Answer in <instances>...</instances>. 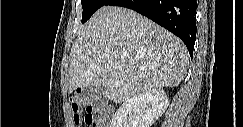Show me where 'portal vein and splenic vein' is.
<instances>
[{"label":"portal vein and splenic vein","instance_id":"obj_1","mask_svg":"<svg viewBox=\"0 0 243 127\" xmlns=\"http://www.w3.org/2000/svg\"><path fill=\"white\" fill-rule=\"evenodd\" d=\"M118 67H120V65H117V64H116V65H115V68H118Z\"/></svg>","mask_w":243,"mask_h":127}]
</instances>
